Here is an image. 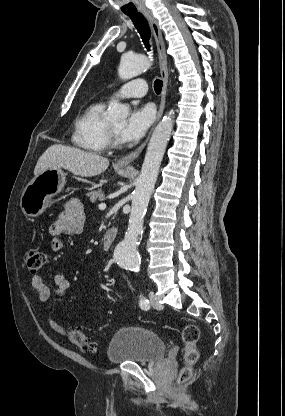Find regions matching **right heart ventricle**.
<instances>
[{
  "label": "right heart ventricle",
  "instance_id": "1",
  "mask_svg": "<svg viewBox=\"0 0 285 416\" xmlns=\"http://www.w3.org/2000/svg\"><path fill=\"white\" fill-rule=\"evenodd\" d=\"M103 108L102 102H92L75 122L72 143L85 153L101 154L109 146Z\"/></svg>",
  "mask_w": 285,
  "mask_h": 416
}]
</instances>
